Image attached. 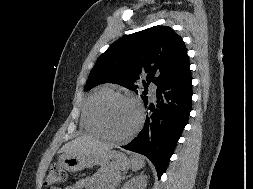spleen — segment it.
Masks as SVG:
<instances>
[{"mask_svg":"<svg viewBox=\"0 0 253 189\" xmlns=\"http://www.w3.org/2000/svg\"><path fill=\"white\" fill-rule=\"evenodd\" d=\"M131 162H132L133 171L139 170L143 168V166L145 165L143 156L138 155V154L132 155Z\"/></svg>","mask_w":253,"mask_h":189,"instance_id":"3e777b00","label":"spleen"}]
</instances>
